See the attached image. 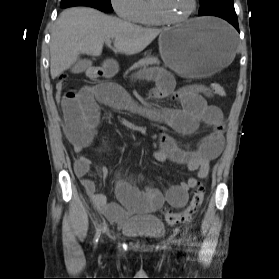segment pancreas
Listing matches in <instances>:
<instances>
[{"mask_svg":"<svg viewBox=\"0 0 279 279\" xmlns=\"http://www.w3.org/2000/svg\"><path fill=\"white\" fill-rule=\"evenodd\" d=\"M154 64H157V65L160 64V61L158 60V58H156V57H146V58L138 61L137 63H135L130 68V70L136 69L138 67H146V66L154 65ZM127 73H128V71L125 73V75H127Z\"/></svg>","mask_w":279,"mask_h":279,"instance_id":"obj_1","label":"pancreas"}]
</instances>
